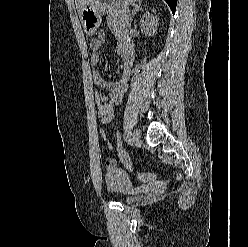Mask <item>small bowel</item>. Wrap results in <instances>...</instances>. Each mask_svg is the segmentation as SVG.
<instances>
[{
	"label": "small bowel",
	"mask_w": 248,
	"mask_h": 247,
	"mask_svg": "<svg viewBox=\"0 0 248 247\" xmlns=\"http://www.w3.org/2000/svg\"><path fill=\"white\" fill-rule=\"evenodd\" d=\"M105 37L100 34L97 38H94L90 42V48L92 50L90 54V63L97 65L102 58L101 48L103 46ZM118 49L124 56L122 76L118 81H108L99 71L93 72V82L98 88L95 95V102L98 109V117L102 124L110 123L115 116V108L121 102L130 78L131 67L133 64V52L132 47L125 35L121 34L118 38ZM103 91H108V94H104ZM102 138L106 147L109 150H113L112 142L107 138L105 132L101 131ZM117 161L114 157H107L106 166L108 169L116 167Z\"/></svg>",
	"instance_id": "1"
}]
</instances>
